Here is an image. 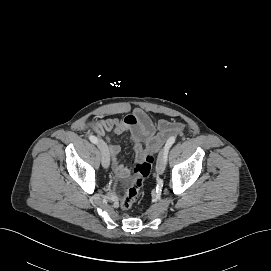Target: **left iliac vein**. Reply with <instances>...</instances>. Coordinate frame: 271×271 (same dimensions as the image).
<instances>
[{
	"label": "left iliac vein",
	"instance_id": "1",
	"mask_svg": "<svg viewBox=\"0 0 271 271\" xmlns=\"http://www.w3.org/2000/svg\"><path fill=\"white\" fill-rule=\"evenodd\" d=\"M166 166V155L165 149L161 150L158 154L157 162H156V172L158 174H163Z\"/></svg>",
	"mask_w": 271,
	"mask_h": 271
}]
</instances>
